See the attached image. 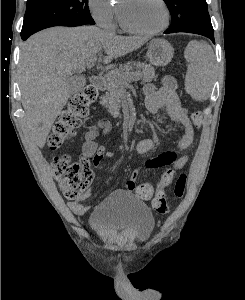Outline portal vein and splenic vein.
I'll list each match as a JSON object with an SVG mask.
<instances>
[{
    "label": "portal vein and splenic vein",
    "instance_id": "18ae733b",
    "mask_svg": "<svg viewBox=\"0 0 245 300\" xmlns=\"http://www.w3.org/2000/svg\"><path fill=\"white\" fill-rule=\"evenodd\" d=\"M97 58H94L92 60H90L89 62H87V67L91 68L95 65ZM130 79H137V75L136 74H130L129 75Z\"/></svg>",
    "mask_w": 245,
    "mask_h": 300
}]
</instances>
